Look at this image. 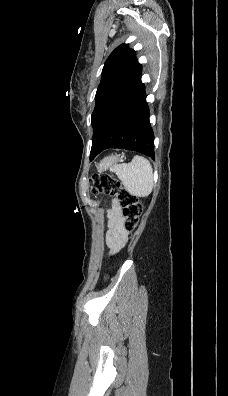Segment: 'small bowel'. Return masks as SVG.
Returning a JSON list of instances; mask_svg holds the SVG:
<instances>
[{
    "mask_svg": "<svg viewBox=\"0 0 228 396\" xmlns=\"http://www.w3.org/2000/svg\"><path fill=\"white\" fill-rule=\"evenodd\" d=\"M108 226L107 244L112 250H118L124 245L127 231L123 227L120 209L115 203L108 212Z\"/></svg>",
    "mask_w": 228,
    "mask_h": 396,
    "instance_id": "obj_1",
    "label": "small bowel"
}]
</instances>
